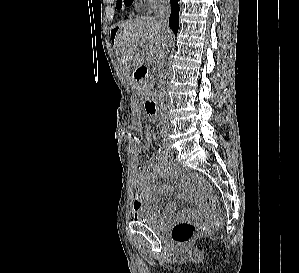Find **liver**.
Listing matches in <instances>:
<instances>
[{
  "label": "liver",
  "mask_w": 299,
  "mask_h": 273,
  "mask_svg": "<svg viewBox=\"0 0 299 273\" xmlns=\"http://www.w3.org/2000/svg\"><path fill=\"white\" fill-rule=\"evenodd\" d=\"M172 39V32H164L154 17H138L119 25L114 50L120 69L131 86L135 87V81L130 75V68L136 70L145 61L144 52L139 49L141 45H147V58L160 60Z\"/></svg>",
  "instance_id": "6515ba94"
}]
</instances>
